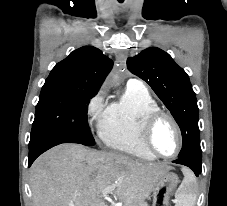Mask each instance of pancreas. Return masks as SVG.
I'll return each instance as SVG.
<instances>
[{"label": "pancreas", "instance_id": "obj_1", "mask_svg": "<svg viewBox=\"0 0 227 206\" xmlns=\"http://www.w3.org/2000/svg\"><path fill=\"white\" fill-rule=\"evenodd\" d=\"M131 206H148L146 202H144L143 200L137 202L136 204H133Z\"/></svg>", "mask_w": 227, "mask_h": 206}]
</instances>
